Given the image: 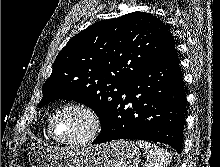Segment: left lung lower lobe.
I'll use <instances>...</instances> for the list:
<instances>
[{"mask_svg":"<svg viewBox=\"0 0 220 167\" xmlns=\"http://www.w3.org/2000/svg\"><path fill=\"white\" fill-rule=\"evenodd\" d=\"M178 64L174 50L130 79L93 144L141 139L168 144L180 153L185 92Z\"/></svg>","mask_w":220,"mask_h":167,"instance_id":"1","label":"left lung lower lobe"}]
</instances>
